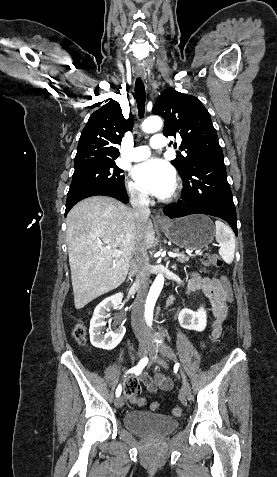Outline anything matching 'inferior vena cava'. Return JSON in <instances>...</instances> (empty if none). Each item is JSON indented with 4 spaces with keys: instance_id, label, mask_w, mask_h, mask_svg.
<instances>
[{
    "instance_id": "602c4592",
    "label": "inferior vena cava",
    "mask_w": 277,
    "mask_h": 477,
    "mask_svg": "<svg viewBox=\"0 0 277 477\" xmlns=\"http://www.w3.org/2000/svg\"><path fill=\"white\" fill-rule=\"evenodd\" d=\"M149 197L140 192L131 193L130 202L133 207V215L136 218L138 228L143 231L150 215ZM138 272L135 284L137 286V297L134 302L131 323L136 337L141 340L148 335V327L144 317L145 300L149 288V258L146 250H141L137 254Z\"/></svg>"
}]
</instances>
